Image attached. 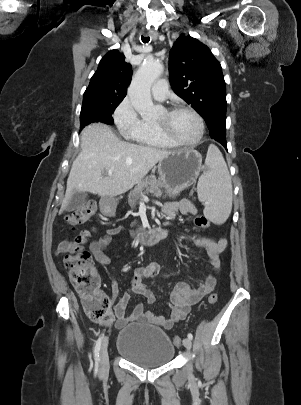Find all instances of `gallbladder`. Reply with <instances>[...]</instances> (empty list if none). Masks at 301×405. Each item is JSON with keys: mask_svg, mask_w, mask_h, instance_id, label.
<instances>
[{"mask_svg": "<svg viewBox=\"0 0 301 405\" xmlns=\"http://www.w3.org/2000/svg\"><path fill=\"white\" fill-rule=\"evenodd\" d=\"M86 198H87L86 192H79V191L74 192L72 197L70 198L69 203L67 204L65 210L67 212H71V211H74V210L80 208L81 206H83L85 204Z\"/></svg>", "mask_w": 301, "mask_h": 405, "instance_id": "gallbladder-1", "label": "gallbladder"}]
</instances>
